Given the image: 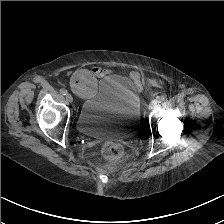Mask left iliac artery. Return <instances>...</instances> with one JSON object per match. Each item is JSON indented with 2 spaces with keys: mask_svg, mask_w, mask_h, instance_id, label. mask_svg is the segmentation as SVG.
<instances>
[{
  "mask_svg": "<svg viewBox=\"0 0 224 224\" xmlns=\"http://www.w3.org/2000/svg\"><path fill=\"white\" fill-rule=\"evenodd\" d=\"M165 100V97L164 96H158L157 98H156V101L158 102V103H161V102H163Z\"/></svg>",
  "mask_w": 224,
  "mask_h": 224,
  "instance_id": "obj_1",
  "label": "left iliac artery"
}]
</instances>
